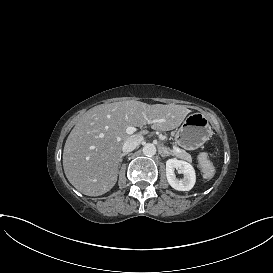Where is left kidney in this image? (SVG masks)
I'll return each instance as SVG.
<instances>
[{
  "label": "left kidney",
  "instance_id": "left-kidney-1",
  "mask_svg": "<svg viewBox=\"0 0 273 273\" xmlns=\"http://www.w3.org/2000/svg\"><path fill=\"white\" fill-rule=\"evenodd\" d=\"M177 169L184 175L183 179H177L174 170ZM166 177L170 186L178 191H189L196 182V174L193 166L183 160L176 158L169 159L166 162Z\"/></svg>",
  "mask_w": 273,
  "mask_h": 273
}]
</instances>
